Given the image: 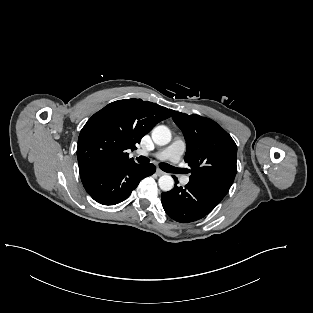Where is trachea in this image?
Segmentation results:
<instances>
[{"label": "trachea", "instance_id": "3493384b", "mask_svg": "<svg viewBox=\"0 0 313 313\" xmlns=\"http://www.w3.org/2000/svg\"><path fill=\"white\" fill-rule=\"evenodd\" d=\"M137 161L139 163H142V164H147L150 162L149 158L145 157V156H139L137 158ZM160 168L165 171V172H168V173H175V172H178V169H176L175 167L167 164V163H160L159 164Z\"/></svg>", "mask_w": 313, "mask_h": 313}]
</instances>
